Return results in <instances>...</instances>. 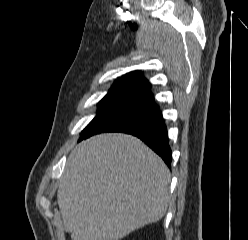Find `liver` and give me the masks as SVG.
Returning a JSON list of instances; mask_svg holds the SVG:
<instances>
[{
    "mask_svg": "<svg viewBox=\"0 0 248 240\" xmlns=\"http://www.w3.org/2000/svg\"><path fill=\"white\" fill-rule=\"evenodd\" d=\"M171 175L138 138L101 134L71 152L57 201L73 240H120L159 221L169 202Z\"/></svg>",
    "mask_w": 248,
    "mask_h": 240,
    "instance_id": "1",
    "label": "liver"
}]
</instances>
